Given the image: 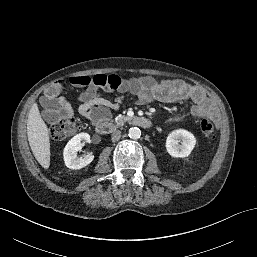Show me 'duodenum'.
I'll use <instances>...</instances> for the list:
<instances>
[{"instance_id":"obj_1","label":"duodenum","mask_w":257,"mask_h":257,"mask_svg":"<svg viewBox=\"0 0 257 257\" xmlns=\"http://www.w3.org/2000/svg\"><path fill=\"white\" fill-rule=\"evenodd\" d=\"M129 122L144 129H148L152 126V122L146 117H133ZM116 128L117 125L115 123L103 121L97 124L96 131L101 135H107L112 133Z\"/></svg>"}]
</instances>
